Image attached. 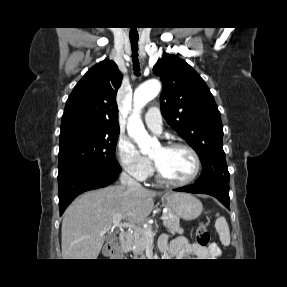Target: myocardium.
Masks as SVG:
<instances>
[{
    "label": "myocardium",
    "mask_w": 287,
    "mask_h": 287,
    "mask_svg": "<svg viewBox=\"0 0 287 287\" xmlns=\"http://www.w3.org/2000/svg\"><path fill=\"white\" fill-rule=\"evenodd\" d=\"M162 147L165 149L182 148V149L189 151L191 153L193 159H194L195 169H194V172L192 173V175L188 179H185L182 181H176V180H173V179L167 177L164 174V172L162 171V169L159 166V164L157 163V161L154 160L153 158H151L154 170H155L156 175L160 181H162L163 183L172 185V186H185V185L191 184L193 181H195L197 179V177L199 176L200 171H201L202 162H201V158H200L198 152L192 146H190L186 143H182V142H169V143L164 144Z\"/></svg>",
    "instance_id": "1"
}]
</instances>
